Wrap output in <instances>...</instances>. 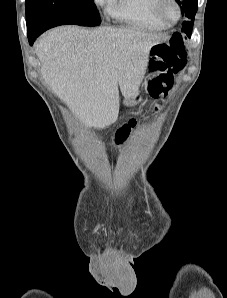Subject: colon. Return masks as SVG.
<instances>
[{
    "mask_svg": "<svg viewBox=\"0 0 227 298\" xmlns=\"http://www.w3.org/2000/svg\"><path fill=\"white\" fill-rule=\"evenodd\" d=\"M153 66L159 75L151 79L148 85V92L154 98L167 94L173 85L174 77L185 67L187 62V52L184 41L179 34L163 43L156 44L152 48ZM137 125L136 119H131L122 125L116 134V140H125L130 131Z\"/></svg>",
    "mask_w": 227,
    "mask_h": 298,
    "instance_id": "1",
    "label": "colon"
}]
</instances>
